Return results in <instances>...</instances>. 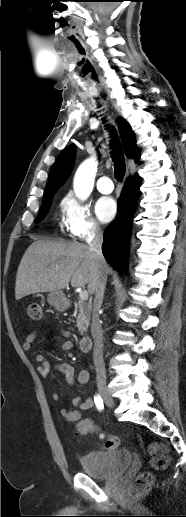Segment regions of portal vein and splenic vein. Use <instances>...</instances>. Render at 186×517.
Here are the masks:
<instances>
[{
    "instance_id": "18ae733b",
    "label": "portal vein and splenic vein",
    "mask_w": 186,
    "mask_h": 517,
    "mask_svg": "<svg viewBox=\"0 0 186 517\" xmlns=\"http://www.w3.org/2000/svg\"><path fill=\"white\" fill-rule=\"evenodd\" d=\"M88 296H89V294H88V292H87L86 290H82V291H80V293H79V297H80V300H81V301H85V300H87V299H88Z\"/></svg>"
}]
</instances>
